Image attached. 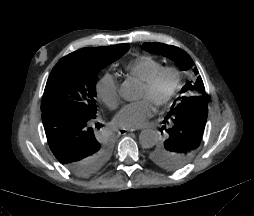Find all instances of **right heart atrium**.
<instances>
[{"label":"right heart atrium","mask_w":254,"mask_h":216,"mask_svg":"<svg viewBox=\"0 0 254 216\" xmlns=\"http://www.w3.org/2000/svg\"><path fill=\"white\" fill-rule=\"evenodd\" d=\"M97 97L108 108L115 109L120 103L119 83L110 74H105L97 83Z\"/></svg>","instance_id":"1"}]
</instances>
